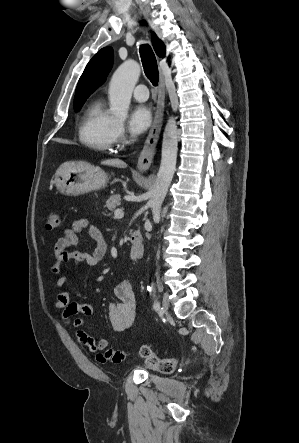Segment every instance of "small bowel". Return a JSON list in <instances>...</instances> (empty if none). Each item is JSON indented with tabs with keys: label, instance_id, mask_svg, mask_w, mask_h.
<instances>
[{
	"label": "small bowel",
	"instance_id": "1",
	"mask_svg": "<svg viewBox=\"0 0 299 443\" xmlns=\"http://www.w3.org/2000/svg\"><path fill=\"white\" fill-rule=\"evenodd\" d=\"M89 227V235L94 241L91 251L69 249L79 242V233ZM107 253V243L100 229L90 224L88 219H79L64 230L63 236L54 244L52 272L56 276L54 288L58 291L53 307L61 310V317L74 330L77 339L84 344L100 363H120L128 357L124 351L107 349L109 340L106 337L95 339L84 329L85 317L93 313L89 303L71 301V292L63 291L69 280L65 269L71 264L85 263L90 267L97 265ZM115 301L108 308V319L115 332L129 328L135 318L136 297L129 281L118 283L114 289ZM82 315L81 317H77Z\"/></svg>",
	"mask_w": 299,
	"mask_h": 443
}]
</instances>
